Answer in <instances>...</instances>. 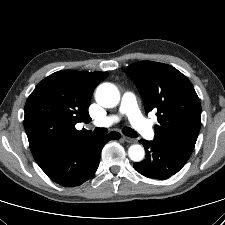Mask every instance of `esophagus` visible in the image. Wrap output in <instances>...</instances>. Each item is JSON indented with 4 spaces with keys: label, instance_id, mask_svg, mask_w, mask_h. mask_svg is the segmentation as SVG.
<instances>
[{
    "label": "esophagus",
    "instance_id": "obj_1",
    "mask_svg": "<svg viewBox=\"0 0 225 225\" xmlns=\"http://www.w3.org/2000/svg\"><path fill=\"white\" fill-rule=\"evenodd\" d=\"M123 139L127 143H135L136 142V139L130 138V137H127V136H123Z\"/></svg>",
    "mask_w": 225,
    "mask_h": 225
}]
</instances>
